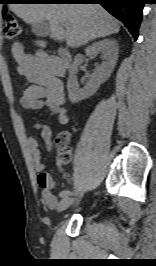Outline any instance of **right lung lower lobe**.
I'll list each match as a JSON object with an SVG mask.
<instances>
[{"mask_svg": "<svg viewBox=\"0 0 156 266\" xmlns=\"http://www.w3.org/2000/svg\"><path fill=\"white\" fill-rule=\"evenodd\" d=\"M52 4H101L109 13L122 21L134 39L142 19V9L146 0H44Z\"/></svg>", "mask_w": 156, "mask_h": 266, "instance_id": "98d812e1", "label": "right lung lower lobe"}]
</instances>
